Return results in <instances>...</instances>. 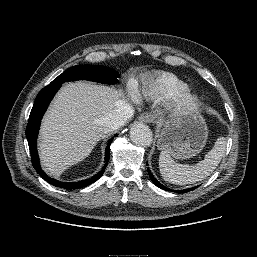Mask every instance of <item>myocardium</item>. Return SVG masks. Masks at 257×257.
<instances>
[{"label": "myocardium", "instance_id": "f54148a6", "mask_svg": "<svg viewBox=\"0 0 257 257\" xmlns=\"http://www.w3.org/2000/svg\"><path fill=\"white\" fill-rule=\"evenodd\" d=\"M170 99L174 111L180 114L193 113L200 104L199 94L189 88L176 93Z\"/></svg>", "mask_w": 257, "mask_h": 257}]
</instances>
